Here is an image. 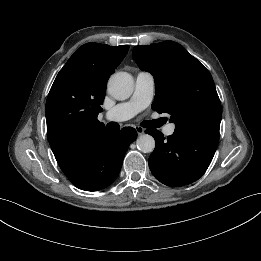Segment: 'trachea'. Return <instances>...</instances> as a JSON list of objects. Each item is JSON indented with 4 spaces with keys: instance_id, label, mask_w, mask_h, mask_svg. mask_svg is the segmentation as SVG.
Masks as SVG:
<instances>
[{
    "instance_id": "3493384b",
    "label": "trachea",
    "mask_w": 261,
    "mask_h": 261,
    "mask_svg": "<svg viewBox=\"0 0 261 261\" xmlns=\"http://www.w3.org/2000/svg\"><path fill=\"white\" fill-rule=\"evenodd\" d=\"M159 125H160V121H147L146 122V127L147 128H155V127H157ZM108 127L111 130H116V127L113 124H108Z\"/></svg>"
}]
</instances>
